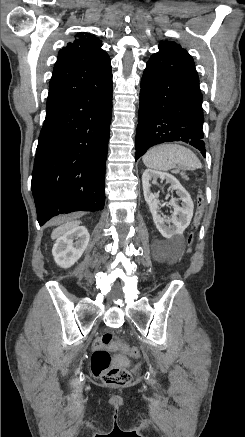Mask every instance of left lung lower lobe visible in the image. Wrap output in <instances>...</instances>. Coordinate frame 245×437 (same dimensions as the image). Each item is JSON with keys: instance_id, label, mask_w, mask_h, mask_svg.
I'll return each instance as SVG.
<instances>
[{"instance_id": "1", "label": "left lung lower lobe", "mask_w": 245, "mask_h": 437, "mask_svg": "<svg viewBox=\"0 0 245 437\" xmlns=\"http://www.w3.org/2000/svg\"><path fill=\"white\" fill-rule=\"evenodd\" d=\"M202 94L192 57L174 44H159L141 79L136 160L152 146L183 141L205 156Z\"/></svg>"}]
</instances>
